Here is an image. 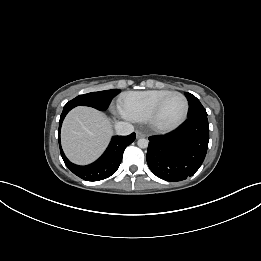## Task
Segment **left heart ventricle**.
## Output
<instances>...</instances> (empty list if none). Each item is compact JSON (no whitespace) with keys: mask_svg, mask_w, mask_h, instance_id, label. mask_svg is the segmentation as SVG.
Wrapping results in <instances>:
<instances>
[{"mask_svg":"<svg viewBox=\"0 0 261 261\" xmlns=\"http://www.w3.org/2000/svg\"><path fill=\"white\" fill-rule=\"evenodd\" d=\"M184 101L178 95L168 97L161 105L156 115V123L159 125H171L182 116Z\"/></svg>","mask_w":261,"mask_h":261,"instance_id":"left-heart-ventricle-1","label":"left heart ventricle"}]
</instances>
